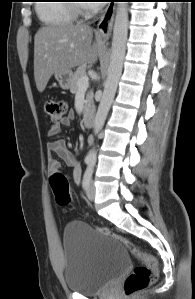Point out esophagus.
<instances>
[{"label": "esophagus", "mask_w": 195, "mask_h": 299, "mask_svg": "<svg viewBox=\"0 0 195 299\" xmlns=\"http://www.w3.org/2000/svg\"><path fill=\"white\" fill-rule=\"evenodd\" d=\"M114 16L115 3L114 1H110L101 15L97 26L98 32L105 38H108L111 34Z\"/></svg>", "instance_id": "1"}]
</instances>
